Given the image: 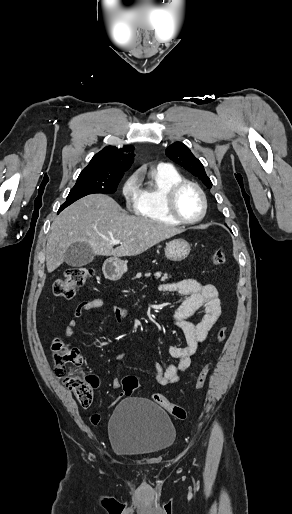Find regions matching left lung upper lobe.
<instances>
[{"instance_id": "obj_1", "label": "left lung upper lobe", "mask_w": 292, "mask_h": 514, "mask_svg": "<svg viewBox=\"0 0 292 514\" xmlns=\"http://www.w3.org/2000/svg\"><path fill=\"white\" fill-rule=\"evenodd\" d=\"M165 153L172 161L201 179L207 188L212 187V182L206 175L202 163L191 153L186 145L181 142L173 143L166 149Z\"/></svg>"}]
</instances>
